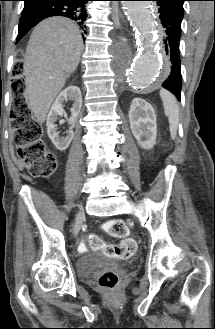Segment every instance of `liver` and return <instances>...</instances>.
<instances>
[{"label": "liver", "instance_id": "obj_1", "mask_svg": "<svg viewBox=\"0 0 215 329\" xmlns=\"http://www.w3.org/2000/svg\"><path fill=\"white\" fill-rule=\"evenodd\" d=\"M83 40L75 22L52 17L33 30L24 59L25 94L30 110L43 123L66 79L79 65Z\"/></svg>", "mask_w": 215, "mask_h": 329}]
</instances>
